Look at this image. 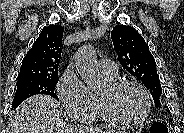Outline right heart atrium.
Wrapping results in <instances>:
<instances>
[{
    "instance_id": "right-heart-atrium-1",
    "label": "right heart atrium",
    "mask_w": 184,
    "mask_h": 133,
    "mask_svg": "<svg viewBox=\"0 0 184 133\" xmlns=\"http://www.w3.org/2000/svg\"><path fill=\"white\" fill-rule=\"evenodd\" d=\"M65 113L73 120L91 122L95 114V97L73 70H67L57 86Z\"/></svg>"
}]
</instances>
